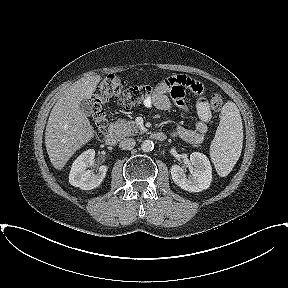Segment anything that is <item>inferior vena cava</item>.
<instances>
[{"label":"inferior vena cava","mask_w":288,"mask_h":288,"mask_svg":"<svg viewBox=\"0 0 288 288\" xmlns=\"http://www.w3.org/2000/svg\"><path fill=\"white\" fill-rule=\"evenodd\" d=\"M136 141L133 138H125L119 143V147L123 150H131L135 146Z\"/></svg>","instance_id":"1"}]
</instances>
